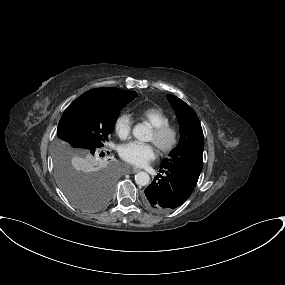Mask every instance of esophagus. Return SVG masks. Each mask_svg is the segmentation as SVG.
I'll return each mask as SVG.
<instances>
[{
  "mask_svg": "<svg viewBox=\"0 0 285 285\" xmlns=\"http://www.w3.org/2000/svg\"><path fill=\"white\" fill-rule=\"evenodd\" d=\"M139 171H141V169H139V168H133V169H132V172H133V173H137V172H139Z\"/></svg>",
  "mask_w": 285,
  "mask_h": 285,
  "instance_id": "esophagus-1",
  "label": "esophagus"
}]
</instances>
